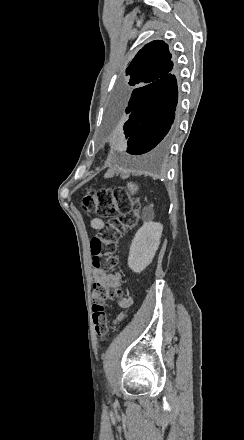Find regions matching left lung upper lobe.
Returning <instances> with one entry per match:
<instances>
[{
	"label": "left lung upper lobe",
	"mask_w": 244,
	"mask_h": 440,
	"mask_svg": "<svg viewBox=\"0 0 244 440\" xmlns=\"http://www.w3.org/2000/svg\"><path fill=\"white\" fill-rule=\"evenodd\" d=\"M171 57L168 46L163 41L146 44L126 69L127 83L137 87L155 82L173 69Z\"/></svg>",
	"instance_id": "left-lung-upper-lobe-1"
}]
</instances>
